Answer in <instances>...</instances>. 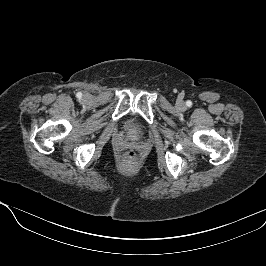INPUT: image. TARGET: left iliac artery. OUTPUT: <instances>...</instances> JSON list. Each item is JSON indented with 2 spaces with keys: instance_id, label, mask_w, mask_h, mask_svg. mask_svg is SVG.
<instances>
[{
  "instance_id": "1",
  "label": "left iliac artery",
  "mask_w": 266,
  "mask_h": 266,
  "mask_svg": "<svg viewBox=\"0 0 266 266\" xmlns=\"http://www.w3.org/2000/svg\"><path fill=\"white\" fill-rule=\"evenodd\" d=\"M190 105H191V102H190V101H188V102H187V106H190Z\"/></svg>"
}]
</instances>
